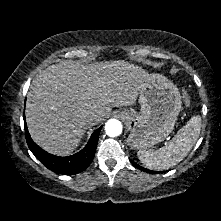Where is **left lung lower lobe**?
<instances>
[{"mask_svg": "<svg viewBox=\"0 0 221 221\" xmlns=\"http://www.w3.org/2000/svg\"><path fill=\"white\" fill-rule=\"evenodd\" d=\"M130 162L138 169L142 170V171H145L147 173H151V174H158L160 173L159 171H152V170H149V169H146V168H143L141 166H139L138 164H136L135 162H133L132 160H130ZM163 172H166V171H162Z\"/></svg>", "mask_w": 221, "mask_h": 221, "instance_id": "1", "label": "left lung lower lobe"}]
</instances>
